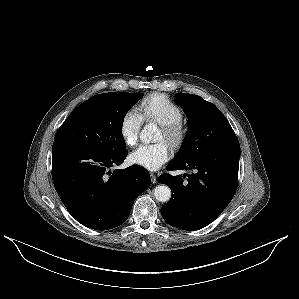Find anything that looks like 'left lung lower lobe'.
Masks as SVG:
<instances>
[{
  "mask_svg": "<svg viewBox=\"0 0 299 299\" xmlns=\"http://www.w3.org/2000/svg\"><path fill=\"white\" fill-rule=\"evenodd\" d=\"M240 145L238 139L212 148L197 158L171 161L167 170H195L192 175L162 174L159 183L172 191L162 206L164 220L173 227L198 230L214 221L232 200L238 183Z\"/></svg>",
  "mask_w": 299,
  "mask_h": 299,
  "instance_id": "obj_1",
  "label": "left lung lower lobe"
}]
</instances>
